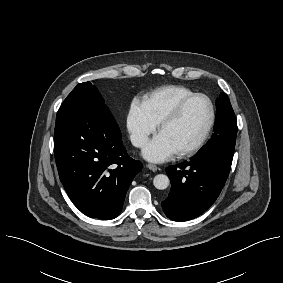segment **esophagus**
Listing matches in <instances>:
<instances>
[{
  "label": "esophagus",
  "instance_id": "1",
  "mask_svg": "<svg viewBox=\"0 0 283 283\" xmlns=\"http://www.w3.org/2000/svg\"><path fill=\"white\" fill-rule=\"evenodd\" d=\"M147 167L151 171H157L158 170V167L156 165H154V164H148Z\"/></svg>",
  "mask_w": 283,
  "mask_h": 283
}]
</instances>
